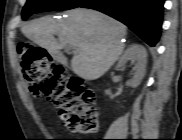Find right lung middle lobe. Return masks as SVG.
<instances>
[{"label": "right lung middle lobe", "instance_id": "obj_1", "mask_svg": "<svg viewBox=\"0 0 182 140\" xmlns=\"http://www.w3.org/2000/svg\"><path fill=\"white\" fill-rule=\"evenodd\" d=\"M87 0H27L22 18L26 20L34 13L54 10H69L77 8Z\"/></svg>", "mask_w": 182, "mask_h": 140}]
</instances>
